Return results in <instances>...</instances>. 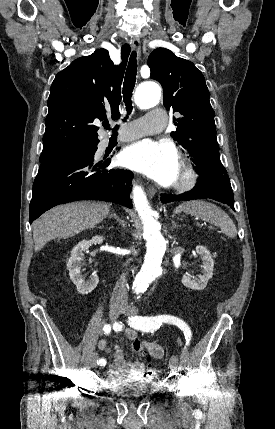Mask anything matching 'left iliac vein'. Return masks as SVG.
Wrapping results in <instances>:
<instances>
[{
	"mask_svg": "<svg viewBox=\"0 0 275 429\" xmlns=\"http://www.w3.org/2000/svg\"><path fill=\"white\" fill-rule=\"evenodd\" d=\"M121 312H122L123 314H125V315L133 316V315L137 314L138 309H137L136 307H134V306H131V305H125V306L122 308V311H121ZM169 366H170V368H171V370H172V371H177L178 366H179V360H178V357H177V356L173 355V356L170 358Z\"/></svg>",
	"mask_w": 275,
	"mask_h": 429,
	"instance_id": "1",
	"label": "left iliac vein"
}]
</instances>
